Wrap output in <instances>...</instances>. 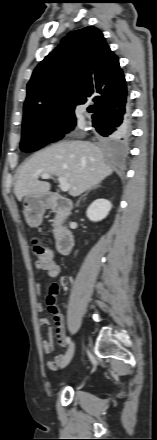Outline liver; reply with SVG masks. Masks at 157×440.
Listing matches in <instances>:
<instances>
[{
  "label": "liver",
  "mask_w": 157,
  "mask_h": 440,
  "mask_svg": "<svg viewBox=\"0 0 157 440\" xmlns=\"http://www.w3.org/2000/svg\"><path fill=\"white\" fill-rule=\"evenodd\" d=\"M112 172L103 150L96 144L63 141L35 153L20 166L14 193L19 201L29 195H46L51 185L38 178L50 174L65 178L70 185L69 195L75 197L98 185Z\"/></svg>",
  "instance_id": "6515ba94"
}]
</instances>
